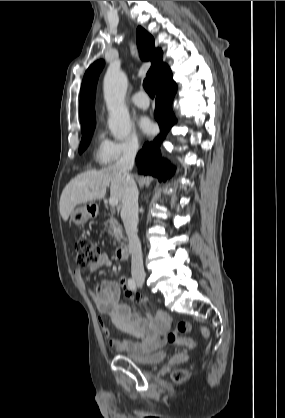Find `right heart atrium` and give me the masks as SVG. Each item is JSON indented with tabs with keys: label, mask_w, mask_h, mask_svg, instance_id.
I'll use <instances>...</instances> for the list:
<instances>
[{
	"label": "right heart atrium",
	"mask_w": 285,
	"mask_h": 418,
	"mask_svg": "<svg viewBox=\"0 0 285 418\" xmlns=\"http://www.w3.org/2000/svg\"><path fill=\"white\" fill-rule=\"evenodd\" d=\"M140 150V139L135 132L123 140L108 141L103 156V163L116 165L119 162L133 158Z\"/></svg>",
	"instance_id": "1"
}]
</instances>
